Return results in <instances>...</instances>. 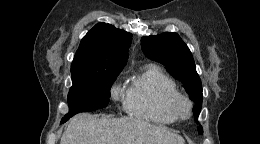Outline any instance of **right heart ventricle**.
I'll use <instances>...</instances> for the list:
<instances>
[{"label":"right heart ventricle","instance_id":"obj_1","mask_svg":"<svg viewBox=\"0 0 260 144\" xmlns=\"http://www.w3.org/2000/svg\"><path fill=\"white\" fill-rule=\"evenodd\" d=\"M179 93L175 81L156 65H146L132 76L125 93V109L133 117L159 125L176 119L166 110L165 101Z\"/></svg>","mask_w":260,"mask_h":144}]
</instances>
